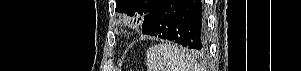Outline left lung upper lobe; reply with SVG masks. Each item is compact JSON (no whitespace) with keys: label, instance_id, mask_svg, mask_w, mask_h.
<instances>
[{"label":"left lung upper lobe","instance_id":"5c2ea615","mask_svg":"<svg viewBox=\"0 0 301 71\" xmlns=\"http://www.w3.org/2000/svg\"><path fill=\"white\" fill-rule=\"evenodd\" d=\"M159 0H116V11L145 19ZM139 21V20H138Z\"/></svg>","mask_w":301,"mask_h":71}]
</instances>
